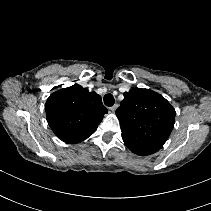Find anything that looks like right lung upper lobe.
I'll list each match as a JSON object with an SVG mask.
<instances>
[{
    "label": "right lung upper lobe",
    "instance_id": "1",
    "mask_svg": "<svg viewBox=\"0 0 211 211\" xmlns=\"http://www.w3.org/2000/svg\"><path fill=\"white\" fill-rule=\"evenodd\" d=\"M45 110L52 131L69 144L92 135L108 113L100 95L77 84L52 93Z\"/></svg>",
    "mask_w": 211,
    "mask_h": 211
}]
</instances>
